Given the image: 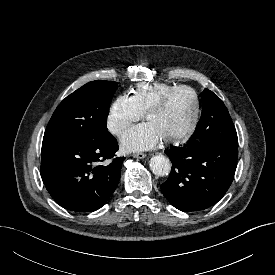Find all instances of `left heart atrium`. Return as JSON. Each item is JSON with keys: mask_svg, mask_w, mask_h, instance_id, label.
Segmentation results:
<instances>
[{"mask_svg": "<svg viewBox=\"0 0 275 275\" xmlns=\"http://www.w3.org/2000/svg\"><path fill=\"white\" fill-rule=\"evenodd\" d=\"M163 140L150 122H145L128 130L121 138V146L127 152H140L156 147Z\"/></svg>", "mask_w": 275, "mask_h": 275, "instance_id": "left-heart-atrium-1", "label": "left heart atrium"}]
</instances>
